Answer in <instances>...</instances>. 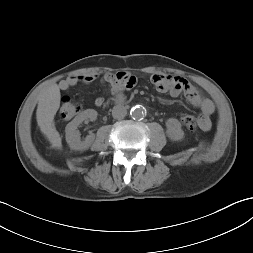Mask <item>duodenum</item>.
Segmentation results:
<instances>
[{
	"mask_svg": "<svg viewBox=\"0 0 253 253\" xmlns=\"http://www.w3.org/2000/svg\"><path fill=\"white\" fill-rule=\"evenodd\" d=\"M115 101H116L117 103H122V102H124V97H123V95L120 94V93H117V94H116V97H115Z\"/></svg>",
	"mask_w": 253,
	"mask_h": 253,
	"instance_id": "410a0bca",
	"label": "duodenum"
}]
</instances>
